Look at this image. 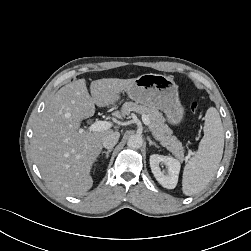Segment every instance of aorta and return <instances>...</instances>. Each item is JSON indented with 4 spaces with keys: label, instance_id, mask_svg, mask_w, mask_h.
<instances>
[{
    "label": "aorta",
    "instance_id": "obj_1",
    "mask_svg": "<svg viewBox=\"0 0 251 251\" xmlns=\"http://www.w3.org/2000/svg\"><path fill=\"white\" fill-rule=\"evenodd\" d=\"M127 145L131 149H139L143 145V139L140 135L134 134L128 138Z\"/></svg>",
    "mask_w": 251,
    "mask_h": 251
}]
</instances>
